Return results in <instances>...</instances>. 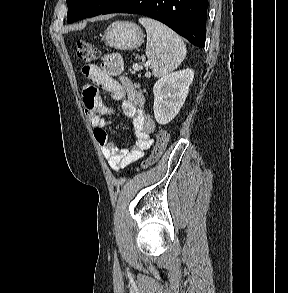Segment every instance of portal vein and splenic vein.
Listing matches in <instances>:
<instances>
[{
  "label": "portal vein and splenic vein",
  "mask_w": 288,
  "mask_h": 293,
  "mask_svg": "<svg viewBox=\"0 0 288 293\" xmlns=\"http://www.w3.org/2000/svg\"><path fill=\"white\" fill-rule=\"evenodd\" d=\"M149 65H150V62H147V63L145 64L146 67H148ZM133 69H134V70H139V66H138L137 64H134V65H133Z\"/></svg>",
  "instance_id": "portal-vein-and-splenic-vein-1"
}]
</instances>
